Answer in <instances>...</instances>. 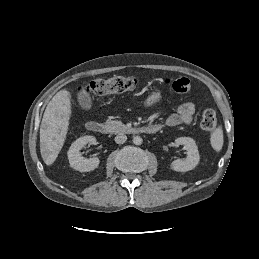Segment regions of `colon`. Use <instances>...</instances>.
<instances>
[{
    "label": "colon",
    "instance_id": "obj_1",
    "mask_svg": "<svg viewBox=\"0 0 259 259\" xmlns=\"http://www.w3.org/2000/svg\"><path fill=\"white\" fill-rule=\"evenodd\" d=\"M165 84L177 93L191 91V82L186 77L166 79ZM138 85L135 77L115 76L109 79H96L85 85L84 90L93 96H105L108 94H121L133 91ZM216 126V114L212 109L203 112L201 127L205 131H212Z\"/></svg>",
    "mask_w": 259,
    "mask_h": 259
}]
</instances>
